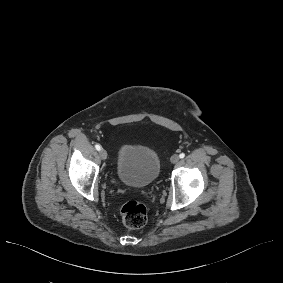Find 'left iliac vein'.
<instances>
[{
    "label": "left iliac vein",
    "mask_w": 283,
    "mask_h": 283,
    "mask_svg": "<svg viewBox=\"0 0 283 283\" xmlns=\"http://www.w3.org/2000/svg\"><path fill=\"white\" fill-rule=\"evenodd\" d=\"M179 161V156L177 154L172 155L171 162L177 163Z\"/></svg>",
    "instance_id": "obj_1"
}]
</instances>
